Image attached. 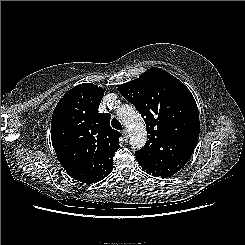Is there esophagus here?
Returning <instances> with one entry per match:
<instances>
[{
	"label": "esophagus",
	"mask_w": 245,
	"mask_h": 245,
	"mask_svg": "<svg viewBox=\"0 0 245 245\" xmlns=\"http://www.w3.org/2000/svg\"><path fill=\"white\" fill-rule=\"evenodd\" d=\"M121 133H122L124 138L128 137V132H127V130L125 128L122 129Z\"/></svg>",
	"instance_id": "esophagus-1"
}]
</instances>
